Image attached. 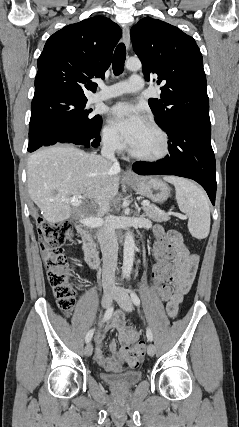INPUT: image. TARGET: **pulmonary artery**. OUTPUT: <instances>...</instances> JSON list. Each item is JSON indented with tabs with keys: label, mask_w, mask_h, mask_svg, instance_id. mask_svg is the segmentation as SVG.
I'll list each match as a JSON object with an SVG mask.
<instances>
[{
	"label": "pulmonary artery",
	"mask_w": 239,
	"mask_h": 427,
	"mask_svg": "<svg viewBox=\"0 0 239 427\" xmlns=\"http://www.w3.org/2000/svg\"><path fill=\"white\" fill-rule=\"evenodd\" d=\"M145 86L144 80L139 75H132L128 80L115 83L109 87H102V90L95 94L92 101H102L114 98L127 93H136Z\"/></svg>",
	"instance_id": "pulmonary-artery-1"
}]
</instances>
